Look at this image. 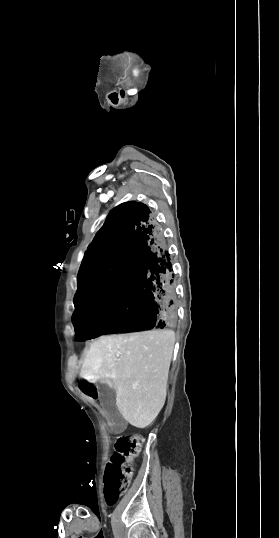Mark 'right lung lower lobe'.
I'll return each instance as SVG.
<instances>
[{
    "label": "right lung lower lobe",
    "mask_w": 279,
    "mask_h": 538,
    "mask_svg": "<svg viewBox=\"0 0 279 538\" xmlns=\"http://www.w3.org/2000/svg\"><path fill=\"white\" fill-rule=\"evenodd\" d=\"M167 241L150 209L130 201L113 209L85 253L74 297L75 332L172 330L177 323Z\"/></svg>",
    "instance_id": "98d812e1"
}]
</instances>
